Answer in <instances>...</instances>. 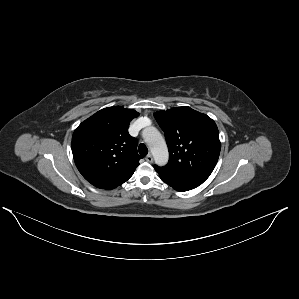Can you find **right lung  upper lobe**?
Masks as SVG:
<instances>
[{
    "label": "right lung upper lobe",
    "instance_id": "obj_1",
    "mask_svg": "<svg viewBox=\"0 0 299 299\" xmlns=\"http://www.w3.org/2000/svg\"><path fill=\"white\" fill-rule=\"evenodd\" d=\"M139 113L120 106L108 107L82 122L72 137L75 164L83 177L101 189H113L127 181L142 158L137 139L128 133Z\"/></svg>",
    "mask_w": 299,
    "mask_h": 299
}]
</instances>
